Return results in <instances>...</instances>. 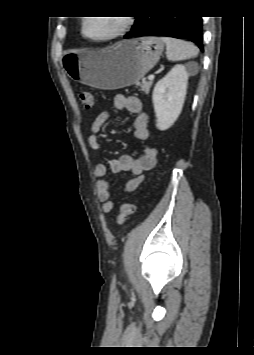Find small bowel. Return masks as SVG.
I'll use <instances>...</instances> for the list:
<instances>
[{"label":"small bowel","instance_id":"1","mask_svg":"<svg viewBox=\"0 0 254 355\" xmlns=\"http://www.w3.org/2000/svg\"><path fill=\"white\" fill-rule=\"evenodd\" d=\"M113 107L117 110H127L136 115L133 122L135 137L140 141H148L150 132L148 129L149 116L142 112V102L136 96L116 95L113 99ZM110 114L106 111L101 112L91 123L88 143L95 152L102 151L100 134L109 120ZM158 160L157 151L154 147L146 145L140 156L133 157L129 154L120 155L118 158L109 161V168L112 172L130 171L134 177L128 180L124 190L131 192L136 190L145 180V173L155 168ZM95 176L99 179L97 182L98 199L102 204V212L107 214L113 209L111 199L110 183L106 179L107 166L97 164L94 169Z\"/></svg>","mask_w":254,"mask_h":355}]
</instances>
